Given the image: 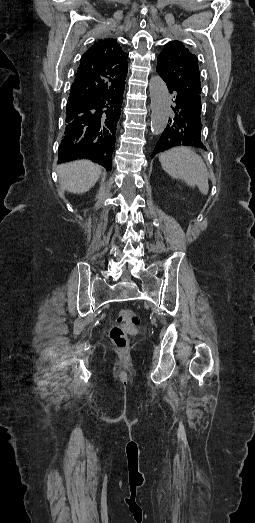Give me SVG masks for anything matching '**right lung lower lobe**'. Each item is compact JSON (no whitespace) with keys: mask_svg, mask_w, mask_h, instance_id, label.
<instances>
[{"mask_svg":"<svg viewBox=\"0 0 255 523\" xmlns=\"http://www.w3.org/2000/svg\"><path fill=\"white\" fill-rule=\"evenodd\" d=\"M79 113L83 115V151L91 154L94 151V145L100 142V124L97 119L100 117V101L96 98L79 103Z\"/></svg>","mask_w":255,"mask_h":523,"instance_id":"right-lung-lower-lobe-1","label":"right lung lower lobe"}]
</instances>
